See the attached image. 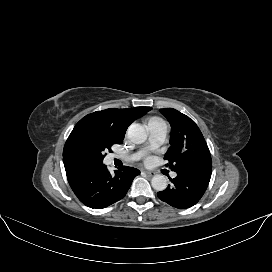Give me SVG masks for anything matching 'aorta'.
<instances>
[{
    "label": "aorta",
    "instance_id": "762f6f07",
    "mask_svg": "<svg viewBox=\"0 0 272 272\" xmlns=\"http://www.w3.org/2000/svg\"><path fill=\"white\" fill-rule=\"evenodd\" d=\"M128 138L135 144H141L147 139V131L144 126L134 123L127 131ZM151 185L156 191H163L167 188V179L163 175H155L151 180Z\"/></svg>",
    "mask_w": 272,
    "mask_h": 272
}]
</instances>
